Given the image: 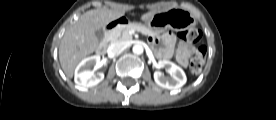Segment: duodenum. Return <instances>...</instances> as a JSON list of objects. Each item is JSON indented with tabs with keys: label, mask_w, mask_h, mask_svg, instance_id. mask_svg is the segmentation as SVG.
<instances>
[{
	"label": "duodenum",
	"mask_w": 276,
	"mask_h": 120,
	"mask_svg": "<svg viewBox=\"0 0 276 120\" xmlns=\"http://www.w3.org/2000/svg\"><path fill=\"white\" fill-rule=\"evenodd\" d=\"M125 24H127V20L122 17V18L114 20L106 25L105 30H104L103 40L98 47L99 53L104 54L106 52L107 45H108V42L110 40L111 33L113 32V30L116 29L117 27L123 26Z\"/></svg>",
	"instance_id": "410a0bca"
}]
</instances>
